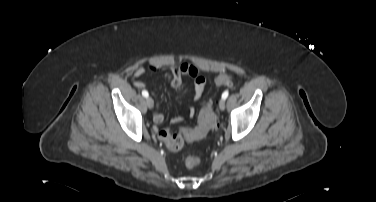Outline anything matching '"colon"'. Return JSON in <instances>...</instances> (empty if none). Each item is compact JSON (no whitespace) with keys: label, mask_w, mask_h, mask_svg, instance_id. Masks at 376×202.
<instances>
[{"label":"colon","mask_w":376,"mask_h":202,"mask_svg":"<svg viewBox=\"0 0 376 202\" xmlns=\"http://www.w3.org/2000/svg\"><path fill=\"white\" fill-rule=\"evenodd\" d=\"M218 86L231 85L233 82V76L230 74H221L216 80ZM215 114L211 103L205 105L198 116L197 125L195 128L188 132L174 131L171 129H163L160 131V138L165 143L168 149L172 151L180 150L185 142V138H200L205 136L209 130L214 126ZM182 162L188 169H193L200 165V157L196 154H187L183 157Z\"/></svg>","instance_id":"obj_1"}]
</instances>
